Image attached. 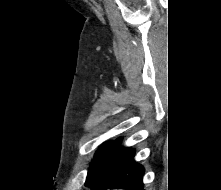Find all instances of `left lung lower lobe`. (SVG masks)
Instances as JSON below:
<instances>
[{
    "label": "left lung lower lobe",
    "instance_id": "0a47b994",
    "mask_svg": "<svg viewBox=\"0 0 221 190\" xmlns=\"http://www.w3.org/2000/svg\"><path fill=\"white\" fill-rule=\"evenodd\" d=\"M122 139L114 140L103 152L92 171L86 186L92 189L144 190V168L134 161L133 149L121 148Z\"/></svg>",
    "mask_w": 221,
    "mask_h": 190
}]
</instances>
